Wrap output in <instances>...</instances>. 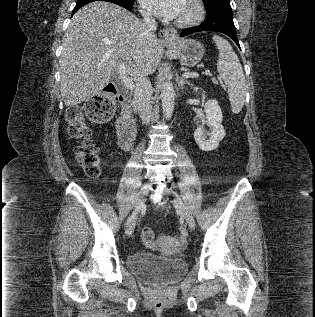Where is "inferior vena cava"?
<instances>
[{
	"label": "inferior vena cava",
	"instance_id": "602c4592",
	"mask_svg": "<svg viewBox=\"0 0 315 317\" xmlns=\"http://www.w3.org/2000/svg\"><path fill=\"white\" fill-rule=\"evenodd\" d=\"M143 24L145 26V34L147 36L154 35V31L157 29V23L154 17L147 12L142 13ZM152 86L147 78V75H143L136 80V87L134 91V101L137 107V111L143 123L148 124L152 120Z\"/></svg>",
	"mask_w": 315,
	"mask_h": 317
}]
</instances>
